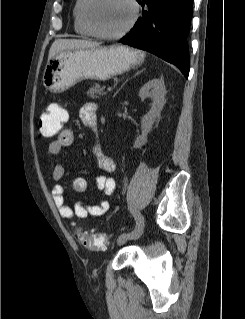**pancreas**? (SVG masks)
<instances>
[{
  "label": "pancreas",
  "mask_w": 245,
  "mask_h": 319,
  "mask_svg": "<svg viewBox=\"0 0 245 319\" xmlns=\"http://www.w3.org/2000/svg\"><path fill=\"white\" fill-rule=\"evenodd\" d=\"M104 89V87H101L99 84L95 83L91 88H89L86 94L92 99H97L100 96L106 95Z\"/></svg>",
  "instance_id": "cf45deb5"
}]
</instances>
